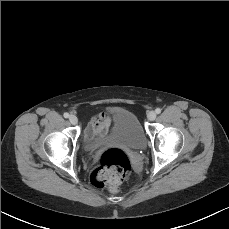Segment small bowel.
I'll return each instance as SVG.
<instances>
[{
    "instance_id": "small-bowel-1",
    "label": "small bowel",
    "mask_w": 229,
    "mask_h": 229,
    "mask_svg": "<svg viewBox=\"0 0 229 229\" xmlns=\"http://www.w3.org/2000/svg\"><path fill=\"white\" fill-rule=\"evenodd\" d=\"M111 127V118L108 112H100L87 125L84 137L106 134Z\"/></svg>"
}]
</instances>
